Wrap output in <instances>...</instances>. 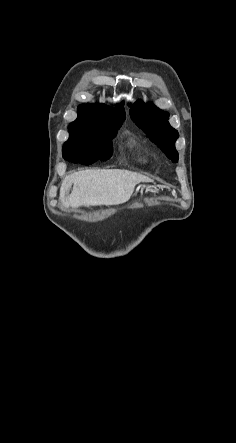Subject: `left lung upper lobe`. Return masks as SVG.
Wrapping results in <instances>:
<instances>
[{"label":"left lung upper lobe","mask_w":236,"mask_h":443,"mask_svg":"<svg viewBox=\"0 0 236 443\" xmlns=\"http://www.w3.org/2000/svg\"><path fill=\"white\" fill-rule=\"evenodd\" d=\"M130 116L173 162L178 161L175 141L179 137L177 130L168 122L169 114L153 104L137 101L130 107Z\"/></svg>","instance_id":"obj_1"}]
</instances>
